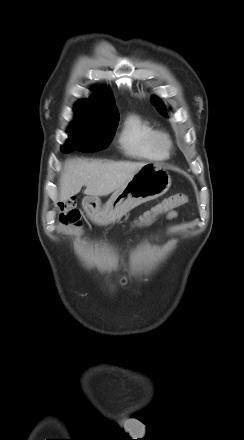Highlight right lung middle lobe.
Returning a JSON list of instances; mask_svg holds the SVG:
<instances>
[{
    "mask_svg": "<svg viewBox=\"0 0 244 440\" xmlns=\"http://www.w3.org/2000/svg\"><path fill=\"white\" fill-rule=\"evenodd\" d=\"M118 122L111 125H93L75 121L68 127V142L62 146L67 154L74 150L95 152L105 149L112 141Z\"/></svg>",
    "mask_w": 244,
    "mask_h": 440,
    "instance_id": "obj_1",
    "label": "right lung middle lobe"
}]
</instances>
